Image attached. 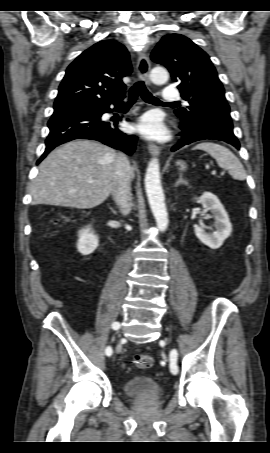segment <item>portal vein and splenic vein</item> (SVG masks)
Returning a JSON list of instances; mask_svg holds the SVG:
<instances>
[{
    "instance_id": "portal-vein-and-splenic-vein-1",
    "label": "portal vein and splenic vein",
    "mask_w": 270,
    "mask_h": 453,
    "mask_svg": "<svg viewBox=\"0 0 270 453\" xmlns=\"http://www.w3.org/2000/svg\"><path fill=\"white\" fill-rule=\"evenodd\" d=\"M212 174H216V171L213 170V171H212ZM88 182H89V183H92L93 181H92V180H88Z\"/></svg>"
}]
</instances>
